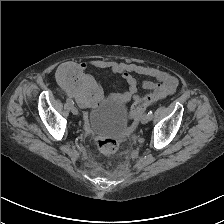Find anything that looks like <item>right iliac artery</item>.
Instances as JSON below:
<instances>
[{
    "instance_id": "obj_1",
    "label": "right iliac artery",
    "mask_w": 224,
    "mask_h": 224,
    "mask_svg": "<svg viewBox=\"0 0 224 224\" xmlns=\"http://www.w3.org/2000/svg\"><path fill=\"white\" fill-rule=\"evenodd\" d=\"M66 101H67V103H68L69 105H73V104H74V102H73L71 99H69V98H68Z\"/></svg>"
}]
</instances>
